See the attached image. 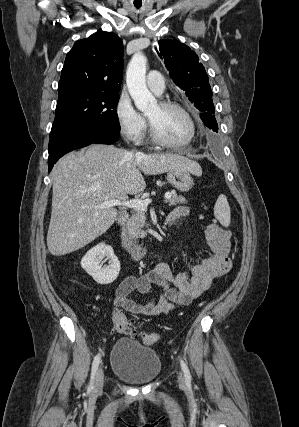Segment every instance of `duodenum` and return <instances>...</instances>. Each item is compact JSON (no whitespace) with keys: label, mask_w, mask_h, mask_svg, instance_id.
Instances as JSON below:
<instances>
[{"label":"duodenum","mask_w":299,"mask_h":427,"mask_svg":"<svg viewBox=\"0 0 299 427\" xmlns=\"http://www.w3.org/2000/svg\"><path fill=\"white\" fill-rule=\"evenodd\" d=\"M128 215L125 211L119 212L117 216L116 226L118 227L119 231L117 234V240L120 244V246L133 258V259H140L147 253V250L139 243L127 238L122 230V225L127 221ZM173 222V219L167 218L166 223L171 224Z\"/></svg>","instance_id":"1"}]
</instances>
